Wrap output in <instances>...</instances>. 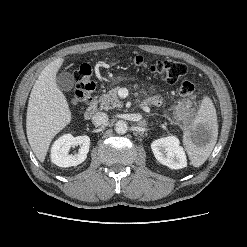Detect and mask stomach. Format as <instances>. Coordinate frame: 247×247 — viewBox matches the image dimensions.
<instances>
[{
    "instance_id": "stomach-1",
    "label": "stomach",
    "mask_w": 247,
    "mask_h": 247,
    "mask_svg": "<svg viewBox=\"0 0 247 247\" xmlns=\"http://www.w3.org/2000/svg\"><path fill=\"white\" fill-rule=\"evenodd\" d=\"M180 120H182L184 124V130L185 132L188 131L192 133L196 129H198L200 126H194V119L192 117H179Z\"/></svg>"
}]
</instances>
